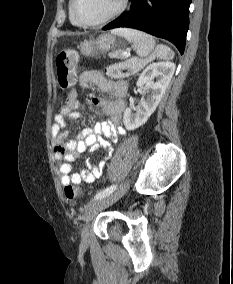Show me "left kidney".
<instances>
[{"mask_svg": "<svg viewBox=\"0 0 233 284\" xmlns=\"http://www.w3.org/2000/svg\"><path fill=\"white\" fill-rule=\"evenodd\" d=\"M174 71L175 64L169 61L151 63L143 70L137 87L146 88L149 95L146 99H140L137 107L124 111L123 122L127 130H134L147 122L159 105ZM154 78L156 82L153 81Z\"/></svg>", "mask_w": 233, "mask_h": 284, "instance_id": "obj_1", "label": "left kidney"}]
</instances>
